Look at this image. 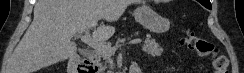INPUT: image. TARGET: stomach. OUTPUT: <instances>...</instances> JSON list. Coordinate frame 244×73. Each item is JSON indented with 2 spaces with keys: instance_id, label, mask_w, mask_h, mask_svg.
<instances>
[{
  "instance_id": "0dacf381",
  "label": "stomach",
  "mask_w": 244,
  "mask_h": 73,
  "mask_svg": "<svg viewBox=\"0 0 244 73\" xmlns=\"http://www.w3.org/2000/svg\"><path fill=\"white\" fill-rule=\"evenodd\" d=\"M136 21L153 33H165L170 29V21L155 12L148 5L138 7L133 13Z\"/></svg>"
}]
</instances>
